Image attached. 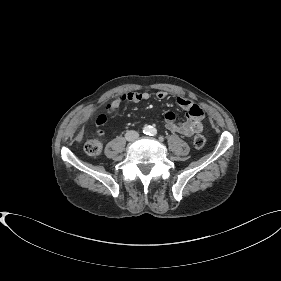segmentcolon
Returning a JSON list of instances; mask_svg holds the SVG:
<instances>
[{"label":"colon","instance_id":"5ec220e1","mask_svg":"<svg viewBox=\"0 0 281 281\" xmlns=\"http://www.w3.org/2000/svg\"><path fill=\"white\" fill-rule=\"evenodd\" d=\"M106 122V116L105 115H100L97 117L95 124L97 126V135H102L103 134V130L100 128L101 126H103ZM193 144L196 148H202L205 146L206 144V139L204 136L202 135H197L194 140H193ZM84 149L86 151V153L90 156H98L101 154L102 152V143L99 139L97 138H89L85 145H84Z\"/></svg>","mask_w":281,"mask_h":281}]
</instances>
